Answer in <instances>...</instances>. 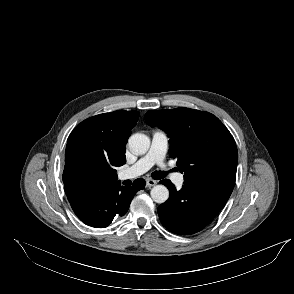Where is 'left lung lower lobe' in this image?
<instances>
[{"mask_svg": "<svg viewBox=\"0 0 294 294\" xmlns=\"http://www.w3.org/2000/svg\"><path fill=\"white\" fill-rule=\"evenodd\" d=\"M170 192L169 199L158 207L161 223L179 235L202 230L225 206L234 188L233 183L205 179L184 183L181 190L164 179L160 181Z\"/></svg>", "mask_w": 294, "mask_h": 294, "instance_id": "0a47b994", "label": "left lung lower lobe"}]
</instances>
